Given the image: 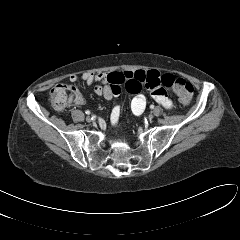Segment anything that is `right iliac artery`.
<instances>
[{
  "label": "right iliac artery",
  "mask_w": 240,
  "mask_h": 240,
  "mask_svg": "<svg viewBox=\"0 0 240 240\" xmlns=\"http://www.w3.org/2000/svg\"><path fill=\"white\" fill-rule=\"evenodd\" d=\"M85 113H86L87 115H89V114H90V111H89V110H86Z\"/></svg>",
  "instance_id": "obj_1"
}]
</instances>
